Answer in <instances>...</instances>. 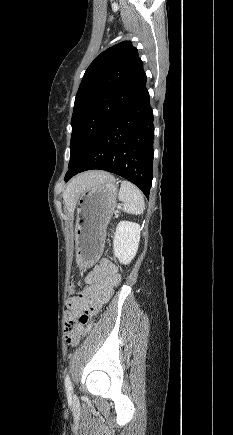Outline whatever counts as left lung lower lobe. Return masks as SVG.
<instances>
[{
  "label": "left lung lower lobe",
  "mask_w": 233,
  "mask_h": 435,
  "mask_svg": "<svg viewBox=\"0 0 233 435\" xmlns=\"http://www.w3.org/2000/svg\"><path fill=\"white\" fill-rule=\"evenodd\" d=\"M153 139V111L146 89L106 128L85 157L69 168L65 181L86 170H105L134 183L148 198L153 178Z\"/></svg>",
  "instance_id": "obj_1"
}]
</instances>
